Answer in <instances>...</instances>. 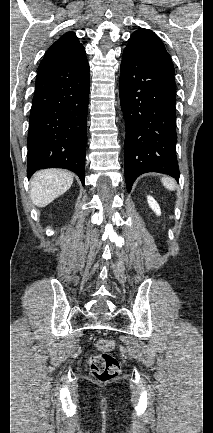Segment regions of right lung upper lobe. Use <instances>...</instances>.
<instances>
[{
    "label": "right lung upper lobe",
    "instance_id": "1",
    "mask_svg": "<svg viewBox=\"0 0 213 433\" xmlns=\"http://www.w3.org/2000/svg\"><path fill=\"white\" fill-rule=\"evenodd\" d=\"M86 59L85 49L74 32L62 35L46 52L38 71L74 65Z\"/></svg>",
    "mask_w": 213,
    "mask_h": 433
}]
</instances>
